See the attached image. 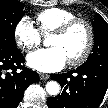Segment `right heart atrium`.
Returning a JSON list of instances; mask_svg holds the SVG:
<instances>
[{"label": "right heart atrium", "instance_id": "right-heart-atrium-1", "mask_svg": "<svg viewBox=\"0 0 108 108\" xmlns=\"http://www.w3.org/2000/svg\"><path fill=\"white\" fill-rule=\"evenodd\" d=\"M14 38L16 45L24 52L35 49L42 40L39 30L27 17L20 19L14 28Z\"/></svg>", "mask_w": 108, "mask_h": 108}]
</instances>
